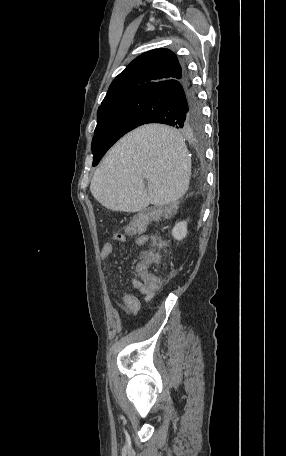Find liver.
<instances>
[{
    "label": "liver",
    "mask_w": 286,
    "mask_h": 456,
    "mask_svg": "<svg viewBox=\"0 0 286 456\" xmlns=\"http://www.w3.org/2000/svg\"><path fill=\"white\" fill-rule=\"evenodd\" d=\"M190 176L191 159L181 133L149 124L131 131L110 149L93 175L90 191L107 209L138 212L149 204L176 202L187 192Z\"/></svg>",
    "instance_id": "6515ba94"
}]
</instances>
